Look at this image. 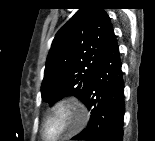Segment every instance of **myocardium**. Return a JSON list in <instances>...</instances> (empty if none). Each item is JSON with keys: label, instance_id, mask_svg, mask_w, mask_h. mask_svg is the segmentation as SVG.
<instances>
[{"label": "myocardium", "instance_id": "1", "mask_svg": "<svg viewBox=\"0 0 155 141\" xmlns=\"http://www.w3.org/2000/svg\"><path fill=\"white\" fill-rule=\"evenodd\" d=\"M87 119L86 111L72 100L61 99L54 102L43 114L40 125L41 138L58 141L77 131ZM57 126L53 134L47 133L49 126Z\"/></svg>", "mask_w": 155, "mask_h": 141}]
</instances>
